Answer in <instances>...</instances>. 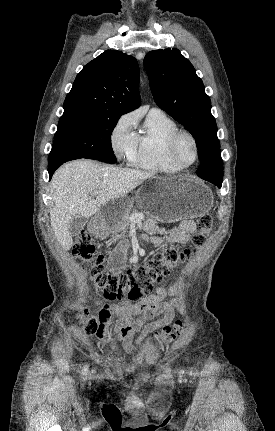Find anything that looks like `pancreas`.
<instances>
[{
	"instance_id": "obj_1",
	"label": "pancreas",
	"mask_w": 275,
	"mask_h": 431,
	"mask_svg": "<svg viewBox=\"0 0 275 431\" xmlns=\"http://www.w3.org/2000/svg\"><path fill=\"white\" fill-rule=\"evenodd\" d=\"M136 209L133 206H130L127 210L123 211L119 220V223L114 230V233L117 234L118 232H125L130 223H131V213H135ZM116 239H118V236H116Z\"/></svg>"
}]
</instances>
